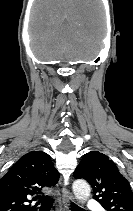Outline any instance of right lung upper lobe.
Here are the masks:
<instances>
[{"label": "right lung upper lobe", "mask_w": 133, "mask_h": 211, "mask_svg": "<svg viewBox=\"0 0 133 211\" xmlns=\"http://www.w3.org/2000/svg\"><path fill=\"white\" fill-rule=\"evenodd\" d=\"M59 176L47 153L25 154L0 179V211H35L27 197L55 186Z\"/></svg>", "instance_id": "1"}]
</instances>
